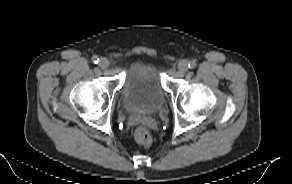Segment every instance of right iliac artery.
Segmentation results:
<instances>
[{
  "mask_svg": "<svg viewBox=\"0 0 292 184\" xmlns=\"http://www.w3.org/2000/svg\"><path fill=\"white\" fill-rule=\"evenodd\" d=\"M92 61L97 64L99 62V58L97 56H93Z\"/></svg>",
  "mask_w": 292,
  "mask_h": 184,
  "instance_id": "1",
  "label": "right iliac artery"
}]
</instances>
